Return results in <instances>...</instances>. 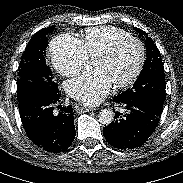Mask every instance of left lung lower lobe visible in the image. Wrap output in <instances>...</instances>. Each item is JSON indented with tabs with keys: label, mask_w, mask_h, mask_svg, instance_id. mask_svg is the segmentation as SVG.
Instances as JSON below:
<instances>
[{
	"label": "left lung lower lobe",
	"mask_w": 183,
	"mask_h": 183,
	"mask_svg": "<svg viewBox=\"0 0 183 183\" xmlns=\"http://www.w3.org/2000/svg\"><path fill=\"white\" fill-rule=\"evenodd\" d=\"M127 113L116 112V120L104 128L106 140L115 148L131 150L144 144L157 127L161 111L146 103L115 97Z\"/></svg>",
	"instance_id": "obj_1"
}]
</instances>
